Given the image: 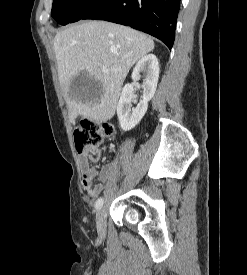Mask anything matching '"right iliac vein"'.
<instances>
[{
	"instance_id": "obj_1",
	"label": "right iliac vein",
	"mask_w": 247,
	"mask_h": 275,
	"mask_svg": "<svg viewBox=\"0 0 247 275\" xmlns=\"http://www.w3.org/2000/svg\"><path fill=\"white\" fill-rule=\"evenodd\" d=\"M106 209L100 208L96 215L97 231L100 236H104L106 232Z\"/></svg>"
}]
</instances>
